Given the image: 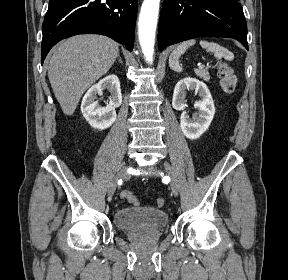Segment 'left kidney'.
<instances>
[{"label": "left kidney", "instance_id": "5707ae66", "mask_svg": "<svg viewBox=\"0 0 288 280\" xmlns=\"http://www.w3.org/2000/svg\"><path fill=\"white\" fill-rule=\"evenodd\" d=\"M189 90H195L201 98L194 105L198 112L193 114L192 118L185 111L186 95ZM172 106L175 110L182 111L180 128L185 137L191 140L198 139L208 129L215 114L214 102L208 87L205 83L191 77H186L176 84Z\"/></svg>", "mask_w": 288, "mask_h": 280}]
</instances>
